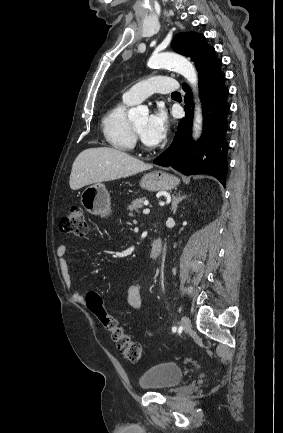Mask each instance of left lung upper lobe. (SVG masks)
I'll return each instance as SVG.
<instances>
[{
    "mask_svg": "<svg viewBox=\"0 0 283 433\" xmlns=\"http://www.w3.org/2000/svg\"><path fill=\"white\" fill-rule=\"evenodd\" d=\"M171 46L174 51L191 57L194 62L211 47L206 43L205 37L197 33H179L174 37Z\"/></svg>",
    "mask_w": 283,
    "mask_h": 433,
    "instance_id": "obj_1",
    "label": "left lung upper lobe"
}]
</instances>
